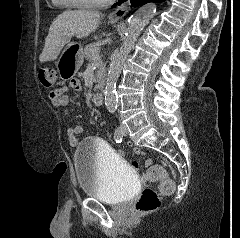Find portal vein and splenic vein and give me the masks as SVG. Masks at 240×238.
Returning a JSON list of instances; mask_svg holds the SVG:
<instances>
[{
  "mask_svg": "<svg viewBox=\"0 0 240 238\" xmlns=\"http://www.w3.org/2000/svg\"><path fill=\"white\" fill-rule=\"evenodd\" d=\"M92 55H93L94 61H98V62L101 61V57H100L99 53L94 52Z\"/></svg>",
  "mask_w": 240,
  "mask_h": 238,
  "instance_id": "portal-vein-and-splenic-vein-1",
  "label": "portal vein and splenic vein"
}]
</instances>
